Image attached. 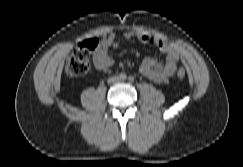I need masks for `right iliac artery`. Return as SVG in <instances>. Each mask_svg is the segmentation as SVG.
Returning <instances> with one entry per match:
<instances>
[{"mask_svg":"<svg viewBox=\"0 0 243 167\" xmlns=\"http://www.w3.org/2000/svg\"><path fill=\"white\" fill-rule=\"evenodd\" d=\"M119 77L121 78V79H126V74L125 73H121L120 75H119Z\"/></svg>","mask_w":243,"mask_h":167,"instance_id":"82829eb1","label":"right iliac artery"}]
</instances>
